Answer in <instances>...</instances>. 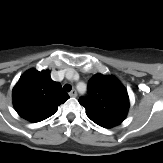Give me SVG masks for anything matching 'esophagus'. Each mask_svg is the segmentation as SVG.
<instances>
[{
    "instance_id": "34e87169",
    "label": "esophagus",
    "mask_w": 163,
    "mask_h": 163,
    "mask_svg": "<svg viewBox=\"0 0 163 163\" xmlns=\"http://www.w3.org/2000/svg\"><path fill=\"white\" fill-rule=\"evenodd\" d=\"M70 97H76L77 96V91L75 89H73L70 93H69Z\"/></svg>"
}]
</instances>
